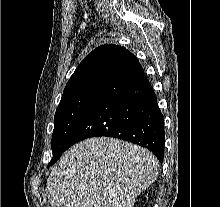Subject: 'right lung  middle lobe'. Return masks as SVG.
I'll return each mask as SVG.
<instances>
[{"label": "right lung middle lobe", "instance_id": "dd1d6c3e", "mask_svg": "<svg viewBox=\"0 0 220 207\" xmlns=\"http://www.w3.org/2000/svg\"><path fill=\"white\" fill-rule=\"evenodd\" d=\"M105 80H95L63 93L54 117L51 139L53 165L69 147V140L86 116Z\"/></svg>", "mask_w": 220, "mask_h": 207}]
</instances>
